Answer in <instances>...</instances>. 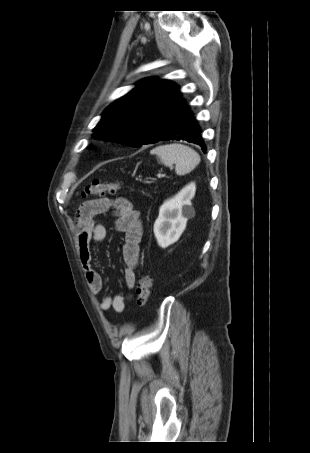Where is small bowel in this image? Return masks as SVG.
<instances>
[{
    "label": "small bowel",
    "instance_id": "obj_1",
    "mask_svg": "<svg viewBox=\"0 0 310 453\" xmlns=\"http://www.w3.org/2000/svg\"><path fill=\"white\" fill-rule=\"evenodd\" d=\"M108 212H112L115 217V229L124 233V281L128 290H132L135 286L136 269L139 264L142 223L140 213L134 209L133 204L123 197L115 199L103 197L83 202L77 210L75 219L78 228V246L86 282L95 295L102 291L103 280L101 275L92 268L90 243L105 239L106 227L97 221V217ZM126 301L127 298L123 295L105 296L100 300L99 308L106 311L112 307L116 312H122Z\"/></svg>",
    "mask_w": 310,
    "mask_h": 453
}]
</instances>
